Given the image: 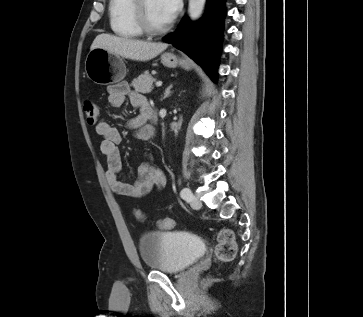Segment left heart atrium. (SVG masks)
Returning <instances> with one entry per match:
<instances>
[{"label": "left heart atrium", "mask_w": 363, "mask_h": 317, "mask_svg": "<svg viewBox=\"0 0 363 317\" xmlns=\"http://www.w3.org/2000/svg\"><path fill=\"white\" fill-rule=\"evenodd\" d=\"M166 21L171 22L177 15L181 0H159Z\"/></svg>", "instance_id": "1"}]
</instances>
